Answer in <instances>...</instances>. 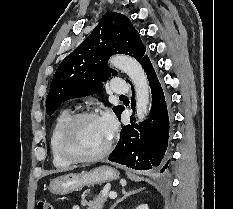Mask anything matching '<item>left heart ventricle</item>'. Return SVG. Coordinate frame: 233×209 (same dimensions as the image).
I'll return each mask as SVG.
<instances>
[{
    "label": "left heart ventricle",
    "mask_w": 233,
    "mask_h": 209,
    "mask_svg": "<svg viewBox=\"0 0 233 209\" xmlns=\"http://www.w3.org/2000/svg\"><path fill=\"white\" fill-rule=\"evenodd\" d=\"M108 138L100 118H86L76 125L70 141V148L78 155H93L103 149Z\"/></svg>",
    "instance_id": "b2bd125f"
}]
</instances>
